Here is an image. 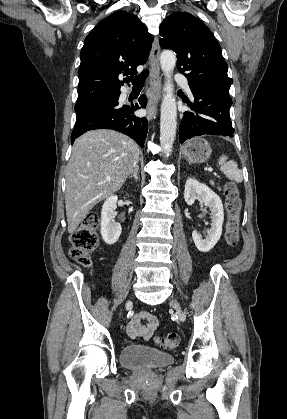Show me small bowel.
Returning <instances> with one entry per match:
<instances>
[{"label":"small bowel","mask_w":287,"mask_h":419,"mask_svg":"<svg viewBox=\"0 0 287 419\" xmlns=\"http://www.w3.org/2000/svg\"><path fill=\"white\" fill-rule=\"evenodd\" d=\"M158 327V319L155 315L142 311L128 322L126 331L132 339L148 340Z\"/></svg>","instance_id":"obj_1"}]
</instances>
